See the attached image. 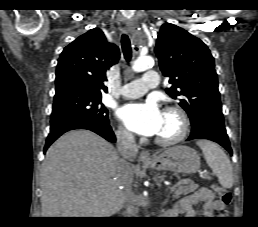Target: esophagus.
I'll list each match as a JSON object with an SVG mask.
<instances>
[{"instance_id": "obj_1", "label": "esophagus", "mask_w": 258, "mask_h": 227, "mask_svg": "<svg viewBox=\"0 0 258 227\" xmlns=\"http://www.w3.org/2000/svg\"><path fill=\"white\" fill-rule=\"evenodd\" d=\"M126 29L128 30V32L132 35V37L134 38L135 37V27H133L132 25L130 24H126ZM136 50H138V48H135ZM139 160L142 161V162H150L152 159H151V156H150V153L149 151L147 150H143L141 151L140 155H139Z\"/></svg>"}]
</instances>
